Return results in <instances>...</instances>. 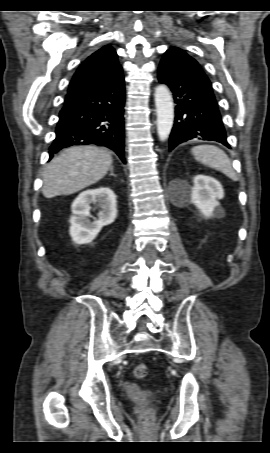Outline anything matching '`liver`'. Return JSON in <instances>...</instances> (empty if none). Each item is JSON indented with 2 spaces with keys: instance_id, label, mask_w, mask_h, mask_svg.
Wrapping results in <instances>:
<instances>
[{
  "instance_id": "1",
  "label": "liver",
  "mask_w": 270,
  "mask_h": 453,
  "mask_svg": "<svg viewBox=\"0 0 270 453\" xmlns=\"http://www.w3.org/2000/svg\"><path fill=\"white\" fill-rule=\"evenodd\" d=\"M111 155L95 146L65 149L46 166L42 194L45 198L70 195L101 180L112 166Z\"/></svg>"
}]
</instances>
